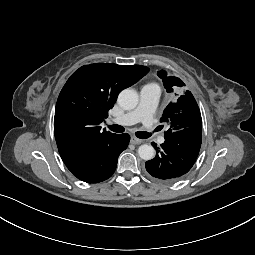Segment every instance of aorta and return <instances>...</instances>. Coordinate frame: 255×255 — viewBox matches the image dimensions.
<instances>
[{
	"mask_svg": "<svg viewBox=\"0 0 255 255\" xmlns=\"http://www.w3.org/2000/svg\"><path fill=\"white\" fill-rule=\"evenodd\" d=\"M139 101L137 92L127 88L122 90L118 96V104L125 110L134 109ZM138 154L143 160H151L155 156V150L151 145L143 144L138 148Z\"/></svg>",
	"mask_w": 255,
	"mask_h": 255,
	"instance_id": "1",
	"label": "aorta"
}]
</instances>
